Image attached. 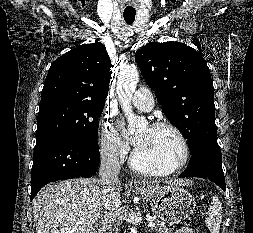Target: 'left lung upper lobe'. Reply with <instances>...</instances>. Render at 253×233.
<instances>
[{
	"instance_id": "left-lung-upper-lobe-1",
	"label": "left lung upper lobe",
	"mask_w": 253,
	"mask_h": 233,
	"mask_svg": "<svg viewBox=\"0 0 253 233\" xmlns=\"http://www.w3.org/2000/svg\"><path fill=\"white\" fill-rule=\"evenodd\" d=\"M135 59L165 116L187 139L190 152L203 145L219 147L214 87L200 52L180 42H150L136 51Z\"/></svg>"
}]
</instances>
